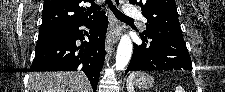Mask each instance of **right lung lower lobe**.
I'll return each mask as SVG.
<instances>
[{
    "instance_id": "1",
    "label": "right lung lower lobe",
    "mask_w": 225,
    "mask_h": 92,
    "mask_svg": "<svg viewBox=\"0 0 225 92\" xmlns=\"http://www.w3.org/2000/svg\"><path fill=\"white\" fill-rule=\"evenodd\" d=\"M90 29L89 41L82 42L80 48L76 40H84L86 32L80 26ZM108 19L105 12L94 20L69 28L65 36L37 42L36 53L30 71H83L88 77L93 91H96L105 56V34ZM80 49V50H79Z\"/></svg>"
}]
</instances>
